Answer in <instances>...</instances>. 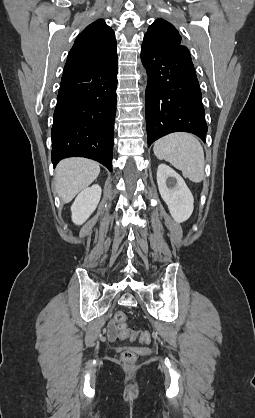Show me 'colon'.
<instances>
[{
    "label": "colon",
    "mask_w": 255,
    "mask_h": 418,
    "mask_svg": "<svg viewBox=\"0 0 255 418\" xmlns=\"http://www.w3.org/2000/svg\"><path fill=\"white\" fill-rule=\"evenodd\" d=\"M114 325L121 339L132 337V331L126 325V315L124 313L118 312L114 315ZM140 338L144 343L151 341V336L147 331L141 332ZM136 358V353L131 350H126L121 354V359L126 363H133L136 361Z\"/></svg>",
    "instance_id": "1"
}]
</instances>
